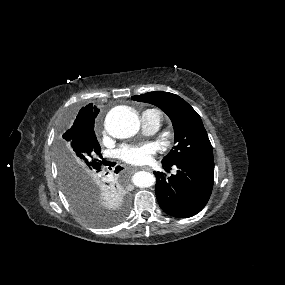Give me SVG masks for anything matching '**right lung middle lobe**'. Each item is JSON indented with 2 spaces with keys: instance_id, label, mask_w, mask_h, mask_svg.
Returning a JSON list of instances; mask_svg holds the SVG:
<instances>
[{
  "instance_id": "1",
  "label": "right lung middle lobe",
  "mask_w": 285,
  "mask_h": 285,
  "mask_svg": "<svg viewBox=\"0 0 285 285\" xmlns=\"http://www.w3.org/2000/svg\"><path fill=\"white\" fill-rule=\"evenodd\" d=\"M100 152L93 130L64 133L57 145V166L63 191L75 212L93 226L108 227L113 220L106 217L100 194L114 195L122 205L125 204V196L114 180H102L100 172L104 160Z\"/></svg>"
}]
</instances>
